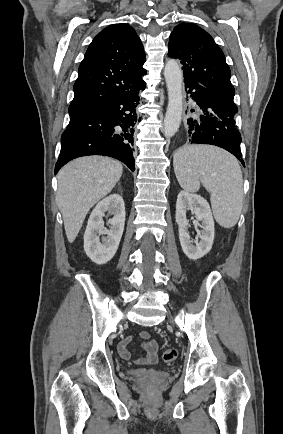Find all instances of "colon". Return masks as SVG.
I'll return each mask as SVG.
<instances>
[{
  "label": "colon",
  "mask_w": 283,
  "mask_h": 434,
  "mask_svg": "<svg viewBox=\"0 0 283 434\" xmlns=\"http://www.w3.org/2000/svg\"><path fill=\"white\" fill-rule=\"evenodd\" d=\"M162 358L165 362H172L177 358V351L175 349H167L164 351Z\"/></svg>",
  "instance_id": "obj_1"
}]
</instances>
